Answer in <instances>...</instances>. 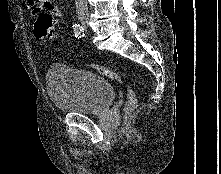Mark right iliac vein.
Wrapping results in <instances>:
<instances>
[{"instance_id": "63e3f726", "label": "right iliac vein", "mask_w": 221, "mask_h": 174, "mask_svg": "<svg viewBox=\"0 0 221 174\" xmlns=\"http://www.w3.org/2000/svg\"><path fill=\"white\" fill-rule=\"evenodd\" d=\"M81 23H82V25H87L88 24V21L86 20V19H83L82 21H81Z\"/></svg>"}]
</instances>
